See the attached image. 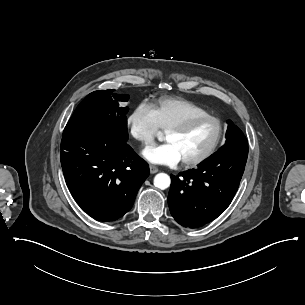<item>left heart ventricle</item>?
Masks as SVG:
<instances>
[{
  "label": "left heart ventricle",
  "instance_id": "1",
  "mask_svg": "<svg viewBox=\"0 0 305 305\" xmlns=\"http://www.w3.org/2000/svg\"><path fill=\"white\" fill-rule=\"evenodd\" d=\"M218 134L219 123L207 120L185 131H168L165 133V139L175 145L182 160H190L206 152L215 143Z\"/></svg>",
  "mask_w": 305,
  "mask_h": 305
}]
</instances>
